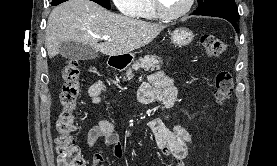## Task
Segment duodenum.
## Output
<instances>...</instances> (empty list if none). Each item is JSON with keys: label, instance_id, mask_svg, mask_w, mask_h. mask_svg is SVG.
Wrapping results in <instances>:
<instances>
[{"label": "duodenum", "instance_id": "obj_1", "mask_svg": "<svg viewBox=\"0 0 277 166\" xmlns=\"http://www.w3.org/2000/svg\"><path fill=\"white\" fill-rule=\"evenodd\" d=\"M109 65L113 69H121L122 68V63L116 59H111L109 61Z\"/></svg>", "mask_w": 277, "mask_h": 166}]
</instances>
